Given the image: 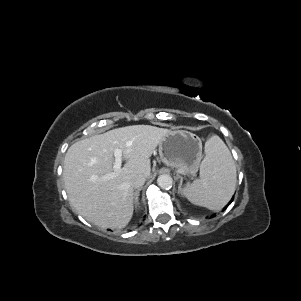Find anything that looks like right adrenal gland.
<instances>
[{
	"label": "right adrenal gland",
	"mask_w": 301,
	"mask_h": 301,
	"mask_svg": "<svg viewBox=\"0 0 301 301\" xmlns=\"http://www.w3.org/2000/svg\"><path fill=\"white\" fill-rule=\"evenodd\" d=\"M141 189L142 188H139L134 192V204H135L136 209L138 208V205H139V194H140Z\"/></svg>",
	"instance_id": "obj_1"
}]
</instances>
